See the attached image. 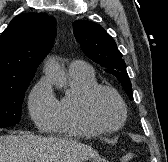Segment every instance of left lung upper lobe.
I'll return each mask as SVG.
<instances>
[{
	"mask_svg": "<svg viewBox=\"0 0 168 162\" xmlns=\"http://www.w3.org/2000/svg\"><path fill=\"white\" fill-rule=\"evenodd\" d=\"M74 35L83 52L94 62L113 74L132 100V85L126 71V64L114 39L98 24L77 20L73 23Z\"/></svg>",
	"mask_w": 168,
	"mask_h": 162,
	"instance_id": "1",
	"label": "left lung upper lobe"
}]
</instances>
